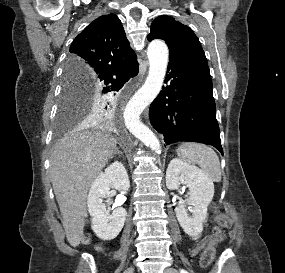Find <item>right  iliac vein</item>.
Instances as JSON below:
<instances>
[{
	"instance_id": "obj_1",
	"label": "right iliac vein",
	"mask_w": 285,
	"mask_h": 273,
	"mask_svg": "<svg viewBox=\"0 0 285 273\" xmlns=\"http://www.w3.org/2000/svg\"><path fill=\"white\" fill-rule=\"evenodd\" d=\"M134 272V269L131 267V268H128L124 273H133Z\"/></svg>"
}]
</instances>
